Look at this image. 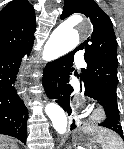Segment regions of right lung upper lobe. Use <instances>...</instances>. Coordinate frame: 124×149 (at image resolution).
<instances>
[{"mask_svg": "<svg viewBox=\"0 0 124 149\" xmlns=\"http://www.w3.org/2000/svg\"><path fill=\"white\" fill-rule=\"evenodd\" d=\"M36 18L27 0H13L0 11V53L33 46Z\"/></svg>", "mask_w": 124, "mask_h": 149, "instance_id": "right-lung-upper-lobe-1", "label": "right lung upper lobe"}]
</instances>
